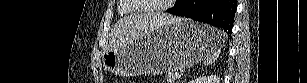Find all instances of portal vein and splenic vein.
I'll return each mask as SVG.
<instances>
[{
	"instance_id": "obj_1",
	"label": "portal vein and splenic vein",
	"mask_w": 307,
	"mask_h": 83,
	"mask_svg": "<svg viewBox=\"0 0 307 83\" xmlns=\"http://www.w3.org/2000/svg\"><path fill=\"white\" fill-rule=\"evenodd\" d=\"M175 77H176V78H180L181 75L177 73V74H175Z\"/></svg>"
}]
</instances>
